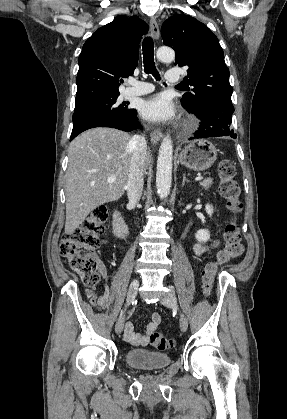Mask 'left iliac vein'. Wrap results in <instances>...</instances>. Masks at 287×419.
Listing matches in <instances>:
<instances>
[{
	"mask_svg": "<svg viewBox=\"0 0 287 419\" xmlns=\"http://www.w3.org/2000/svg\"><path fill=\"white\" fill-rule=\"evenodd\" d=\"M161 303L167 307L177 308L176 296L173 289H170L165 297L161 299ZM180 329L186 332L188 328V320L184 314H180Z\"/></svg>",
	"mask_w": 287,
	"mask_h": 419,
	"instance_id": "1",
	"label": "left iliac vein"
}]
</instances>
